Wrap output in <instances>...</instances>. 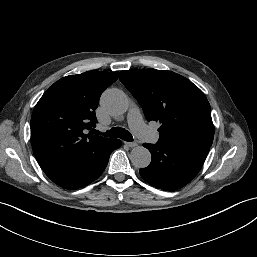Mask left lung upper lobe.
<instances>
[{
	"label": "left lung upper lobe",
	"mask_w": 257,
	"mask_h": 257,
	"mask_svg": "<svg viewBox=\"0 0 257 257\" xmlns=\"http://www.w3.org/2000/svg\"><path fill=\"white\" fill-rule=\"evenodd\" d=\"M119 78L138 100L146 119L161 123L158 143L212 145L209 102L190 80L156 69L121 71Z\"/></svg>",
	"instance_id": "obj_1"
}]
</instances>
